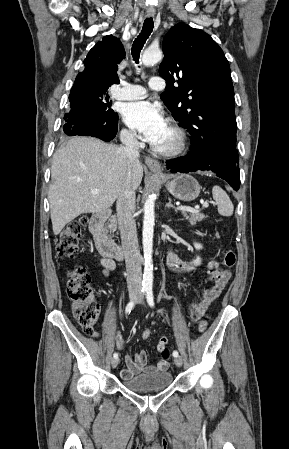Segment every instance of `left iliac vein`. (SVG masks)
<instances>
[{
    "instance_id": "1",
    "label": "left iliac vein",
    "mask_w": 289,
    "mask_h": 449,
    "mask_svg": "<svg viewBox=\"0 0 289 449\" xmlns=\"http://www.w3.org/2000/svg\"><path fill=\"white\" fill-rule=\"evenodd\" d=\"M139 302L142 303L143 302V298H141ZM174 363H175V365L177 367H181L182 364H183V360H182V358L180 356H178V357L174 358Z\"/></svg>"
}]
</instances>
